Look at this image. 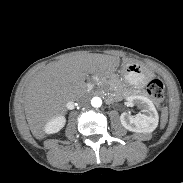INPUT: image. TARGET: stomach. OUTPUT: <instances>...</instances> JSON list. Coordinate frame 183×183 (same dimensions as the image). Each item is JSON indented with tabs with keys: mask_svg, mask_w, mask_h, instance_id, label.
<instances>
[{
	"mask_svg": "<svg viewBox=\"0 0 183 183\" xmlns=\"http://www.w3.org/2000/svg\"><path fill=\"white\" fill-rule=\"evenodd\" d=\"M152 73L143 65L127 63L124 65V79L127 85L141 88L145 86Z\"/></svg>",
	"mask_w": 183,
	"mask_h": 183,
	"instance_id": "stomach-1",
	"label": "stomach"
}]
</instances>
